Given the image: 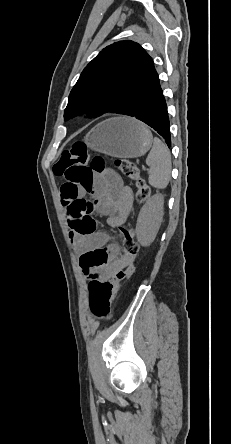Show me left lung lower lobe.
Masks as SVG:
<instances>
[{"mask_svg":"<svg viewBox=\"0 0 231 444\" xmlns=\"http://www.w3.org/2000/svg\"><path fill=\"white\" fill-rule=\"evenodd\" d=\"M117 113L143 121L156 130L170 147L171 137L167 105L154 66Z\"/></svg>","mask_w":231,"mask_h":444,"instance_id":"left-lung-lower-lobe-1","label":"left lung lower lobe"}]
</instances>
